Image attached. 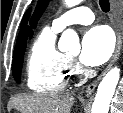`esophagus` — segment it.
I'll return each instance as SVG.
<instances>
[{
	"mask_svg": "<svg viewBox=\"0 0 123 113\" xmlns=\"http://www.w3.org/2000/svg\"><path fill=\"white\" fill-rule=\"evenodd\" d=\"M110 3H111V13H112V17H113V24H114V29H115L116 38H117L116 48H115L114 54L112 56V59H111L110 63L108 64V66L106 67V69L102 72V74L100 76L97 77L96 80H94L86 88L85 92L87 95H91L94 92V90L96 89V87H97L98 83L100 82V80L102 79V77L109 71V69L113 66V64L116 62V60L118 59V57L120 55V51H121V47H122V35H121L118 20L116 17V10H117L118 3L116 0H110Z\"/></svg>",
	"mask_w": 123,
	"mask_h": 113,
	"instance_id": "34e87169",
	"label": "esophagus"
}]
</instances>
